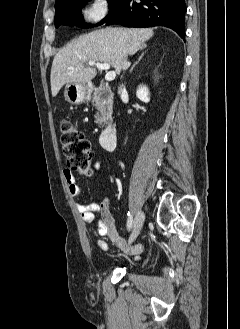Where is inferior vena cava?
<instances>
[{
    "label": "inferior vena cava",
    "mask_w": 240,
    "mask_h": 329,
    "mask_svg": "<svg viewBox=\"0 0 240 329\" xmlns=\"http://www.w3.org/2000/svg\"><path fill=\"white\" fill-rule=\"evenodd\" d=\"M128 66H129V63L127 62V55H124V59H123V63H122V69L126 70L128 68ZM124 90H125L124 88L122 89L121 87H119L118 93L120 94Z\"/></svg>",
    "instance_id": "inferior-vena-cava-1"
}]
</instances>
